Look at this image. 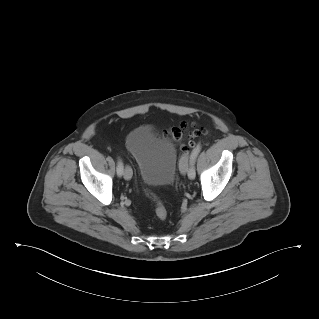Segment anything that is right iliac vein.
Segmentation results:
<instances>
[{
    "mask_svg": "<svg viewBox=\"0 0 319 319\" xmlns=\"http://www.w3.org/2000/svg\"><path fill=\"white\" fill-rule=\"evenodd\" d=\"M124 178L126 179V180H130L131 179V177H132V169H131V167L130 166H125V169H124Z\"/></svg>",
    "mask_w": 319,
    "mask_h": 319,
    "instance_id": "right-iliac-vein-1",
    "label": "right iliac vein"
}]
</instances>
